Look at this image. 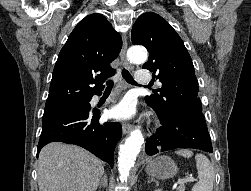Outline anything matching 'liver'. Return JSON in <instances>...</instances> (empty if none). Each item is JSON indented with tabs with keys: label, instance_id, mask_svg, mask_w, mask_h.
<instances>
[{
	"label": "liver",
	"instance_id": "obj_1",
	"mask_svg": "<svg viewBox=\"0 0 251 191\" xmlns=\"http://www.w3.org/2000/svg\"><path fill=\"white\" fill-rule=\"evenodd\" d=\"M37 171L40 191H96L104 167L83 147L51 141L39 153Z\"/></svg>",
	"mask_w": 251,
	"mask_h": 191
}]
</instances>
